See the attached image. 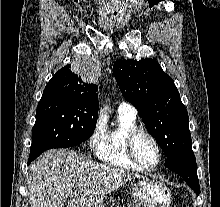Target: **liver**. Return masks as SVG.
Here are the masks:
<instances>
[{"label": "liver", "mask_w": 220, "mask_h": 207, "mask_svg": "<svg viewBox=\"0 0 220 207\" xmlns=\"http://www.w3.org/2000/svg\"><path fill=\"white\" fill-rule=\"evenodd\" d=\"M135 178L140 175L59 149L46 152L31 164L26 181L30 207H64L68 196V207H95Z\"/></svg>", "instance_id": "obj_1"}]
</instances>
